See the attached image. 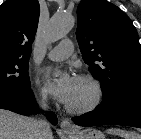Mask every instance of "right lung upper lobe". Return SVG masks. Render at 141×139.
<instances>
[{"mask_svg": "<svg viewBox=\"0 0 141 139\" xmlns=\"http://www.w3.org/2000/svg\"><path fill=\"white\" fill-rule=\"evenodd\" d=\"M39 11L38 0H7L0 6V57H29Z\"/></svg>", "mask_w": 141, "mask_h": 139, "instance_id": "1", "label": "right lung upper lobe"}]
</instances>
